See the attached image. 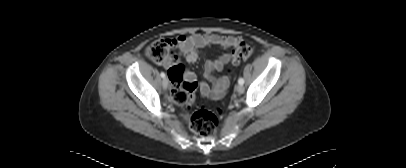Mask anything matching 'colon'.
<instances>
[{
	"instance_id": "colon-1",
	"label": "colon",
	"mask_w": 406,
	"mask_h": 168,
	"mask_svg": "<svg viewBox=\"0 0 406 168\" xmlns=\"http://www.w3.org/2000/svg\"><path fill=\"white\" fill-rule=\"evenodd\" d=\"M172 45L169 40L161 39L152 42L146 49L147 57L158 64L163 63L171 55ZM252 48L246 43H240L233 52L231 63L238 65L252 55ZM185 67L182 64L174 65L169 69L171 80V98L181 106H185V120L190 129L202 137L212 136L218 128V119L216 115L206 108H199L191 111L194 105V91L196 84L193 81H182L180 76Z\"/></svg>"
}]
</instances>
